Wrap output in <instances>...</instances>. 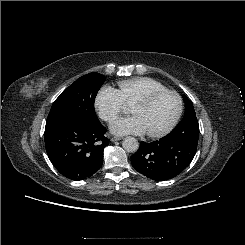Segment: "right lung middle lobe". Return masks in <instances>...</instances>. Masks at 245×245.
<instances>
[{
    "label": "right lung middle lobe",
    "instance_id": "1",
    "mask_svg": "<svg viewBox=\"0 0 245 245\" xmlns=\"http://www.w3.org/2000/svg\"><path fill=\"white\" fill-rule=\"evenodd\" d=\"M105 77L92 72L78 78L53 103L47 121L56 118H76L88 123H99L94 101Z\"/></svg>",
    "mask_w": 245,
    "mask_h": 245
}]
</instances>
